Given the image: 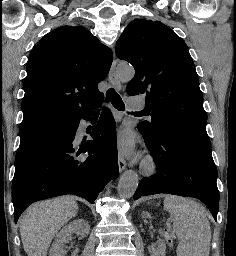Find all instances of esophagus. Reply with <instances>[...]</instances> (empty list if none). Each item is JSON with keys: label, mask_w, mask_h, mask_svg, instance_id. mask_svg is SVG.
<instances>
[{"label": "esophagus", "mask_w": 236, "mask_h": 256, "mask_svg": "<svg viewBox=\"0 0 236 256\" xmlns=\"http://www.w3.org/2000/svg\"><path fill=\"white\" fill-rule=\"evenodd\" d=\"M116 64H117V61L114 59L109 71V79L112 85L116 88V90L120 91L122 89V85L116 75V71H115ZM118 165H119L120 172L126 168V160L123 158L121 154H119V157H118Z\"/></svg>", "instance_id": "34e87169"}]
</instances>
